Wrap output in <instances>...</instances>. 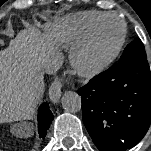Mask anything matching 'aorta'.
Returning a JSON list of instances; mask_svg holds the SVG:
<instances>
[{"label": "aorta", "instance_id": "obj_1", "mask_svg": "<svg viewBox=\"0 0 151 151\" xmlns=\"http://www.w3.org/2000/svg\"><path fill=\"white\" fill-rule=\"evenodd\" d=\"M61 103L68 112L74 113L81 109V97L73 91H66L61 98Z\"/></svg>", "mask_w": 151, "mask_h": 151}]
</instances>
